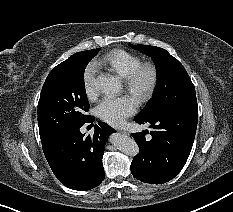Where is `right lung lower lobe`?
<instances>
[{"mask_svg":"<svg viewBox=\"0 0 233 212\" xmlns=\"http://www.w3.org/2000/svg\"><path fill=\"white\" fill-rule=\"evenodd\" d=\"M90 118L42 142L45 157L59 181L74 190H89L98 186L104 179L102 157L108 136L115 132L104 122L94 126L93 136H85L80 128ZM93 125V124H91Z\"/></svg>","mask_w":233,"mask_h":212,"instance_id":"1","label":"right lung lower lobe"}]
</instances>
